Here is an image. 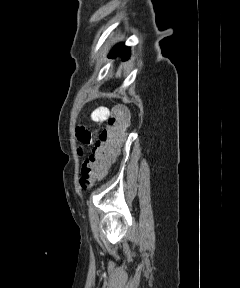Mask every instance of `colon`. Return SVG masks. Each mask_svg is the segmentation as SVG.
<instances>
[{
  "mask_svg": "<svg viewBox=\"0 0 240 288\" xmlns=\"http://www.w3.org/2000/svg\"><path fill=\"white\" fill-rule=\"evenodd\" d=\"M129 122L128 110L124 106H115L109 118V126L101 132L92 153L82 165L80 178L82 188H91L96 181L104 177L125 139Z\"/></svg>",
  "mask_w": 240,
  "mask_h": 288,
  "instance_id": "colon-1",
  "label": "colon"
}]
</instances>
